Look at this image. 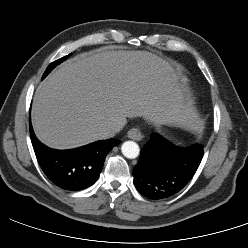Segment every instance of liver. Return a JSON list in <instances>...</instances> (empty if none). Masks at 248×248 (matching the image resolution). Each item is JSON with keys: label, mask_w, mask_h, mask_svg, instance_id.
I'll use <instances>...</instances> for the list:
<instances>
[{"label": "liver", "mask_w": 248, "mask_h": 248, "mask_svg": "<svg viewBox=\"0 0 248 248\" xmlns=\"http://www.w3.org/2000/svg\"><path fill=\"white\" fill-rule=\"evenodd\" d=\"M181 100L172 67L150 52L82 53L41 83L32 125L47 146L74 148L108 138V127H123L127 117L164 123Z\"/></svg>", "instance_id": "6515ba94"}]
</instances>
